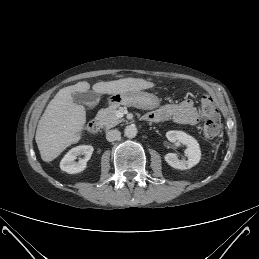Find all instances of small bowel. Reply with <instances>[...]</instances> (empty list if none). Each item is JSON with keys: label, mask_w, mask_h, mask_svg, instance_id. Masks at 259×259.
Returning a JSON list of instances; mask_svg holds the SVG:
<instances>
[{"label": "small bowel", "mask_w": 259, "mask_h": 259, "mask_svg": "<svg viewBox=\"0 0 259 259\" xmlns=\"http://www.w3.org/2000/svg\"><path fill=\"white\" fill-rule=\"evenodd\" d=\"M203 117H208V114L204 111L202 104L201 110H198L191 99H185L179 103L166 104L145 114L143 118L149 122L172 120L182 125H197Z\"/></svg>", "instance_id": "obj_1"}]
</instances>
